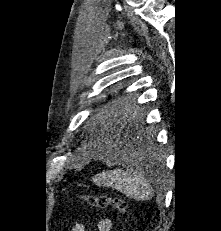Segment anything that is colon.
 I'll use <instances>...</instances> for the list:
<instances>
[{
	"instance_id": "1",
	"label": "colon",
	"mask_w": 221,
	"mask_h": 231,
	"mask_svg": "<svg viewBox=\"0 0 221 231\" xmlns=\"http://www.w3.org/2000/svg\"><path fill=\"white\" fill-rule=\"evenodd\" d=\"M82 199L90 206L106 209L114 207L120 214L124 215L127 212V203L119 197H112L108 195H83Z\"/></svg>"
}]
</instances>
